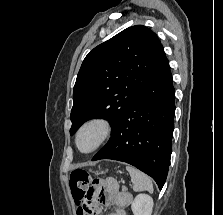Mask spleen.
I'll use <instances>...</instances> for the list:
<instances>
[{
  "instance_id": "1",
  "label": "spleen",
  "mask_w": 223,
  "mask_h": 215,
  "mask_svg": "<svg viewBox=\"0 0 223 215\" xmlns=\"http://www.w3.org/2000/svg\"><path fill=\"white\" fill-rule=\"evenodd\" d=\"M126 169L130 173L134 191H144V189H147V191L153 193V183L149 175H146L143 171H139V169H135V167H131L128 163Z\"/></svg>"
}]
</instances>
